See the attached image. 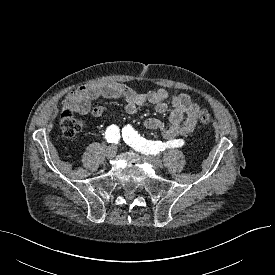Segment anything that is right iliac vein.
I'll use <instances>...</instances> for the list:
<instances>
[{"label": "right iliac vein", "mask_w": 275, "mask_h": 275, "mask_svg": "<svg viewBox=\"0 0 275 275\" xmlns=\"http://www.w3.org/2000/svg\"><path fill=\"white\" fill-rule=\"evenodd\" d=\"M117 152V147L115 145H111L106 149V157L108 159H112L113 157H115Z\"/></svg>", "instance_id": "obj_1"}]
</instances>
